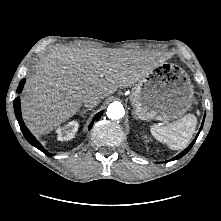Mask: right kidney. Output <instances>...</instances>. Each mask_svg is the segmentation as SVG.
<instances>
[{
	"label": "right kidney",
	"mask_w": 221,
	"mask_h": 221,
	"mask_svg": "<svg viewBox=\"0 0 221 221\" xmlns=\"http://www.w3.org/2000/svg\"><path fill=\"white\" fill-rule=\"evenodd\" d=\"M79 124L77 121H71L67 125L62 128H58L56 132L58 133V140L60 141H68L74 138Z\"/></svg>",
	"instance_id": "obj_1"
}]
</instances>
